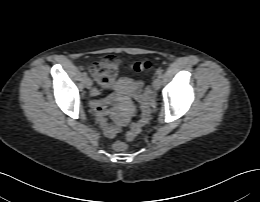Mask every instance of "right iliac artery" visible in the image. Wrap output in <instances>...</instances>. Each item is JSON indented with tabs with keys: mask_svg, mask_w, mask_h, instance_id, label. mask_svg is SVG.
Segmentation results:
<instances>
[{
	"mask_svg": "<svg viewBox=\"0 0 260 202\" xmlns=\"http://www.w3.org/2000/svg\"><path fill=\"white\" fill-rule=\"evenodd\" d=\"M83 76H84V78H86V77H87V73H86V72H84V73H83Z\"/></svg>",
	"mask_w": 260,
	"mask_h": 202,
	"instance_id": "82829eb1",
	"label": "right iliac artery"
}]
</instances>
